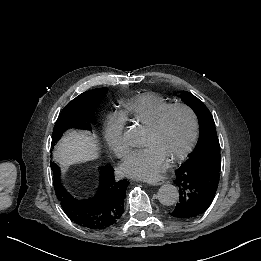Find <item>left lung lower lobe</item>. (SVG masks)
I'll return each mask as SVG.
<instances>
[{
    "label": "left lung lower lobe",
    "mask_w": 261,
    "mask_h": 261,
    "mask_svg": "<svg viewBox=\"0 0 261 261\" xmlns=\"http://www.w3.org/2000/svg\"><path fill=\"white\" fill-rule=\"evenodd\" d=\"M219 170L212 166H181L175 172L179 202L170 215L189 219L203 214L213 201L219 183Z\"/></svg>",
    "instance_id": "obj_1"
}]
</instances>
